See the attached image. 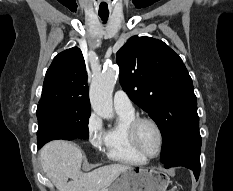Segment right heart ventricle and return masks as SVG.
Returning <instances> with one entry per match:
<instances>
[{
  "instance_id": "right-heart-ventricle-1",
  "label": "right heart ventricle",
  "mask_w": 233,
  "mask_h": 191,
  "mask_svg": "<svg viewBox=\"0 0 233 191\" xmlns=\"http://www.w3.org/2000/svg\"><path fill=\"white\" fill-rule=\"evenodd\" d=\"M119 121L106 132V155L116 162L142 164L147 160L133 148L129 136L128 125L136 118L134 112L117 111Z\"/></svg>"
}]
</instances>
